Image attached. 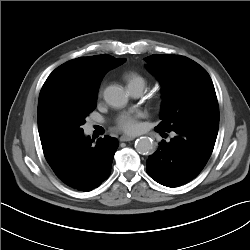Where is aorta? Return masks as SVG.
<instances>
[{
	"mask_svg": "<svg viewBox=\"0 0 250 250\" xmlns=\"http://www.w3.org/2000/svg\"><path fill=\"white\" fill-rule=\"evenodd\" d=\"M104 99L115 108H123L128 102V95L121 86L110 85L104 90ZM154 148V143L149 137H140L135 142V149L139 154H150Z\"/></svg>",
	"mask_w": 250,
	"mask_h": 250,
	"instance_id": "1",
	"label": "aorta"
}]
</instances>
